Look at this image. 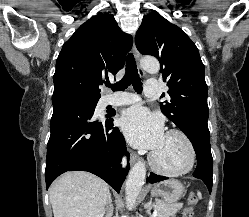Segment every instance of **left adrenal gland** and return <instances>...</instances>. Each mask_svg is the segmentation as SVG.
<instances>
[{"instance_id":"obj_1","label":"left adrenal gland","mask_w":249,"mask_h":217,"mask_svg":"<svg viewBox=\"0 0 249 217\" xmlns=\"http://www.w3.org/2000/svg\"><path fill=\"white\" fill-rule=\"evenodd\" d=\"M144 208L146 209V213L148 214V216L152 217L151 216V209H152L151 200L144 205Z\"/></svg>"}]
</instances>
